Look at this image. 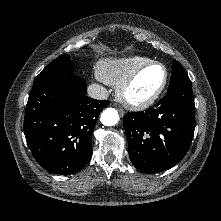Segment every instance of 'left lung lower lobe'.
<instances>
[{
    "label": "left lung lower lobe",
    "instance_id": "0a47b994",
    "mask_svg": "<svg viewBox=\"0 0 221 221\" xmlns=\"http://www.w3.org/2000/svg\"><path fill=\"white\" fill-rule=\"evenodd\" d=\"M191 85H178L147 111L124 116L130 160L139 171H165L186 155L195 129Z\"/></svg>",
    "mask_w": 221,
    "mask_h": 221
}]
</instances>
